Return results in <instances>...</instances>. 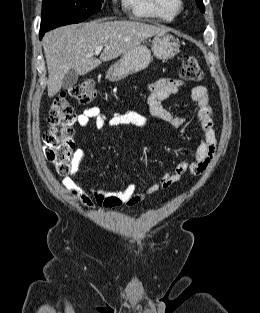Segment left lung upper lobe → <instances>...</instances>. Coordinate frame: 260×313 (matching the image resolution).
I'll list each match as a JSON object with an SVG mask.
<instances>
[{"mask_svg":"<svg viewBox=\"0 0 260 313\" xmlns=\"http://www.w3.org/2000/svg\"><path fill=\"white\" fill-rule=\"evenodd\" d=\"M196 1L199 4L200 10L204 13L205 12V8H204V5H203V1L202 0H196Z\"/></svg>","mask_w":260,"mask_h":313,"instance_id":"5c2ea615","label":"left lung upper lobe"}]
</instances>
